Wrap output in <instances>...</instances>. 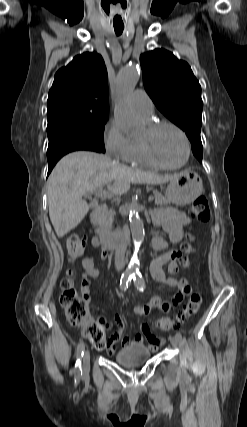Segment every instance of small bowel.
I'll list each match as a JSON object with an SVG mask.
<instances>
[{"instance_id":"obj_1","label":"small bowel","mask_w":247,"mask_h":427,"mask_svg":"<svg viewBox=\"0 0 247 427\" xmlns=\"http://www.w3.org/2000/svg\"><path fill=\"white\" fill-rule=\"evenodd\" d=\"M153 220L158 227L163 228L168 234V241L160 236H154L152 244L155 250L164 251L169 243L176 244L179 243L185 236V229L188 228L191 224V220L184 213L169 209L163 208L156 210L153 213ZM190 240H194L193 236H189ZM94 247H99L97 239L94 237L91 241ZM107 257L106 249H102L100 252V259L105 260ZM181 260V255L177 251H167L160 256H158L150 266V271L152 277L165 285L170 287L177 288L178 292L175 295L171 303L161 300L159 297H153L148 303L144 305H138L134 308V312L138 316H146L152 311L167 312L171 307L179 305L184 297L190 293V287L188 281L185 278H176L178 273V261ZM167 265V270L170 274L169 277L166 276L163 266ZM82 266L84 272L81 277V293L84 299L90 301V287L91 282L99 275V270L95 266V256H89L82 260ZM91 321L98 322L102 325L104 329L109 327L106 319L103 316H90ZM114 323L117 326V331L111 336L108 340V346L106 351L109 354H113L116 351V346L119 341L122 342L124 346L129 345H142L146 339L149 342V348L152 351H157L160 346L164 344V339L156 336L151 327L143 323L140 325V330L135 334L134 338L129 336H123L124 330V320L121 315H116L114 318Z\"/></svg>"}]
</instances>
